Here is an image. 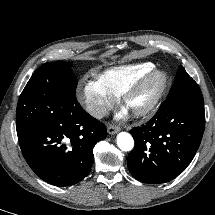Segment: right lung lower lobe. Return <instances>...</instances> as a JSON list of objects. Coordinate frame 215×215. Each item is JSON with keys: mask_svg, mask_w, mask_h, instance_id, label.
<instances>
[{"mask_svg": "<svg viewBox=\"0 0 215 215\" xmlns=\"http://www.w3.org/2000/svg\"><path fill=\"white\" fill-rule=\"evenodd\" d=\"M106 136L105 125L76 100L52 112L18 139L31 169L47 183L64 187L86 177L93 148Z\"/></svg>", "mask_w": 215, "mask_h": 215, "instance_id": "1", "label": "right lung lower lobe"}]
</instances>
